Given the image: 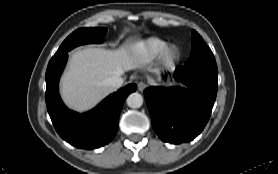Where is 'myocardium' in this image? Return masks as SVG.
I'll return each mask as SVG.
<instances>
[{
	"instance_id": "f54148a6",
	"label": "myocardium",
	"mask_w": 278,
	"mask_h": 174,
	"mask_svg": "<svg viewBox=\"0 0 278 174\" xmlns=\"http://www.w3.org/2000/svg\"><path fill=\"white\" fill-rule=\"evenodd\" d=\"M159 62L166 68L173 67L180 59V52L175 45H167L158 56Z\"/></svg>"
}]
</instances>
